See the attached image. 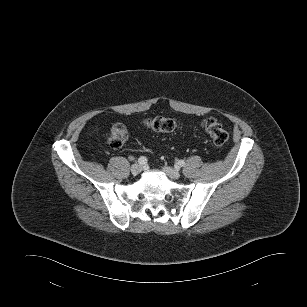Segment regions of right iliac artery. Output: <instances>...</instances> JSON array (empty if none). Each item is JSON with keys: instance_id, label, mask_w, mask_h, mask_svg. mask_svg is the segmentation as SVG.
I'll use <instances>...</instances> for the list:
<instances>
[{"instance_id": "obj_1", "label": "right iliac artery", "mask_w": 307, "mask_h": 307, "mask_svg": "<svg viewBox=\"0 0 307 307\" xmlns=\"http://www.w3.org/2000/svg\"><path fill=\"white\" fill-rule=\"evenodd\" d=\"M138 163L141 164V165H145V164L147 163L146 157L141 156V157L138 159Z\"/></svg>"}]
</instances>
